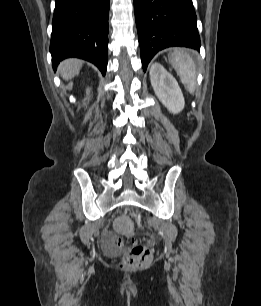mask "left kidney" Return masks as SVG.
<instances>
[{"label": "left kidney", "instance_id": "1", "mask_svg": "<svg viewBox=\"0 0 261 306\" xmlns=\"http://www.w3.org/2000/svg\"><path fill=\"white\" fill-rule=\"evenodd\" d=\"M150 81L156 96L171 113L183 110L185 101L176 79L159 63L152 64Z\"/></svg>", "mask_w": 261, "mask_h": 306}]
</instances>
